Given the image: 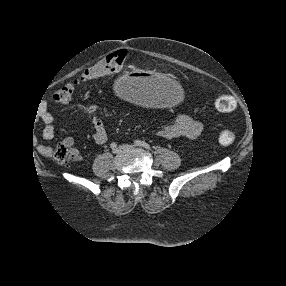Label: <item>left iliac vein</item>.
Here are the masks:
<instances>
[{
  "label": "left iliac vein",
  "instance_id": "1",
  "mask_svg": "<svg viewBox=\"0 0 286 286\" xmlns=\"http://www.w3.org/2000/svg\"><path fill=\"white\" fill-rule=\"evenodd\" d=\"M132 147H134V145L123 144V145L120 146V148H121L122 150L129 149V148H132Z\"/></svg>",
  "mask_w": 286,
  "mask_h": 286
}]
</instances>
